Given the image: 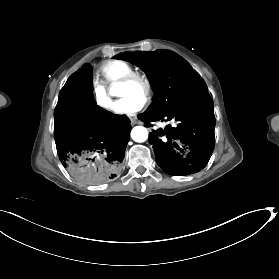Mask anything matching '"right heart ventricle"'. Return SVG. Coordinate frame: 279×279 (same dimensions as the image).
Segmentation results:
<instances>
[{"mask_svg": "<svg viewBox=\"0 0 279 279\" xmlns=\"http://www.w3.org/2000/svg\"><path fill=\"white\" fill-rule=\"evenodd\" d=\"M132 72L135 69L129 63L118 59L103 62L97 70L101 84L108 89L117 87L120 80Z\"/></svg>", "mask_w": 279, "mask_h": 279, "instance_id": "right-heart-ventricle-1", "label": "right heart ventricle"}]
</instances>
